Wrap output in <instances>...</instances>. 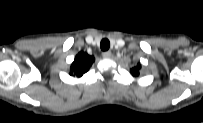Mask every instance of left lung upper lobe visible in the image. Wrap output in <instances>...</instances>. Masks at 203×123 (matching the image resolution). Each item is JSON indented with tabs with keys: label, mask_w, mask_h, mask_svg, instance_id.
<instances>
[{
	"label": "left lung upper lobe",
	"mask_w": 203,
	"mask_h": 123,
	"mask_svg": "<svg viewBox=\"0 0 203 123\" xmlns=\"http://www.w3.org/2000/svg\"><path fill=\"white\" fill-rule=\"evenodd\" d=\"M141 68V65L138 63L137 66L133 67L131 69V73L134 76H138L139 75V69Z\"/></svg>",
	"instance_id": "1"
}]
</instances>
